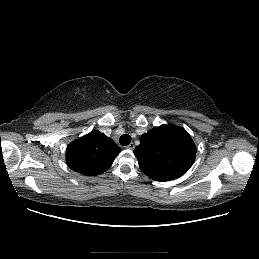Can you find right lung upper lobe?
Masks as SVG:
<instances>
[{
    "mask_svg": "<svg viewBox=\"0 0 259 259\" xmlns=\"http://www.w3.org/2000/svg\"><path fill=\"white\" fill-rule=\"evenodd\" d=\"M119 153L111 138L93 130L67 146L66 163L73 171L95 176L105 172Z\"/></svg>",
    "mask_w": 259,
    "mask_h": 259,
    "instance_id": "obj_1",
    "label": "right lung upper lobe"
}]
</instances>
